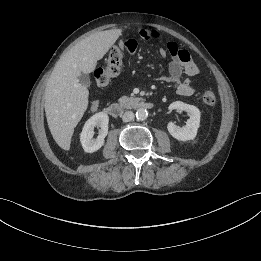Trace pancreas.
Instances as JSON below:
<instances>
[{
  "label": "pancreas",
  "instance_id": "cf45deb5",
  "mask_svg": "<svg viewBox=\"0 0 261 261\" xmlns=\"http://www.w3.org/2000/svg\"><path fill=\"white\" fill-rule=\"evenodd\" d=\"M131 100H132V98L127 97V96H123V97H121V98L119 99V103H120V105L125 106V105H127V103L130 102Z\"/></svg>",
  "mask_w": 261,
  "mask_h": 261
}]
</instances>
